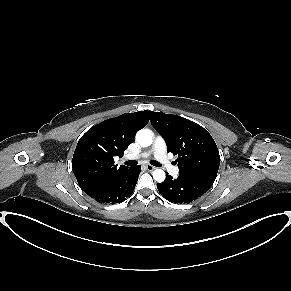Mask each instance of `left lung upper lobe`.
Segmentation results:
<instances>
[{
    "mask_svg": "<svg viewBox=\"0 0 291 291\" xmlns=\"http://www.w3.org/2000/svg\"><path fill=\"white\" fill-rule=\"evenodd\" d=\"M153 127L166 141L167 151L178 155L179 174L215 180L220 156L206 129L186 118L150 112Z\"/></svg>",
    "mask_w": 291,
    "mask_h": 291,
    "instance_id": "obj_1",
    "label": "left lung upper lobe"
}]
</instances>
